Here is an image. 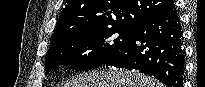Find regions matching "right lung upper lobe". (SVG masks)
<instances>
[{
	"label": "right lung upper lobe",
	"mask_w": 205,
	"mask_h": 87,
	"mask_svg": "<svg viewBox=\"0 0 205 87\" xmlns=\"http://www.w3.org/2000/svg\"><path fill=\"white\" fill-rule=\"evenodd\" d=\"M172 3L171 0H67L50 44L81 32L135 29Z\"/></svg>",
	"instance_id": "1"
}]
</instances>
